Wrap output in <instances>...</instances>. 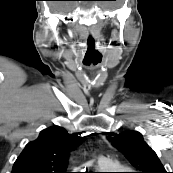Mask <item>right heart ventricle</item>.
I'll return each instance as SVG.
<instances>
[{"mask_svg": "<svg viewBox=\"0 0 173 173\" xmlns=\"http://www.w3.org/2000/svg\"><path fill=\"white\" fill-rule=\"evenodd\" d=\"M99 168L102 169H112L116 168L119 169L120 171H123L125 168L120 166L118 162H116L114 159L110 157H104L99 160Z\"/></svg>", "mask_w": 173, "mask_h": 173, "instance_id": "1", "label": "right heart ventricle"}]
</instances>
